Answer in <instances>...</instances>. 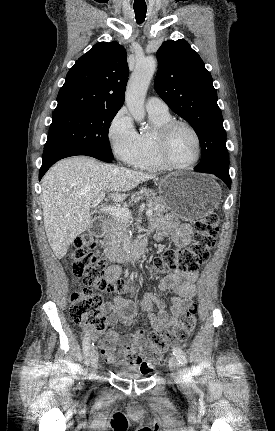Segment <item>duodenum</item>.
Masks as SVG:
<instances>
[{
  "label": "duodenum",
  "instance_id": "obj_1",
  "mask_svg": "<svg viewBox=\"0 0 275 431\" xmlns=\"http://www.w3.org/2000/svg\"><path fill=\"white\" fill-rule=\"evenodd\" d=\"M108 226V222L105 219L99 221L98 233L102 232ZM147 246L146 238H139L135 240L129 249V251H123L116 247H109L107 249V257L112 262H131L138 260L145 252Z\"/></svg>",
  "mask_w": 275,
  "mask_h": 431
}]
</instances>
